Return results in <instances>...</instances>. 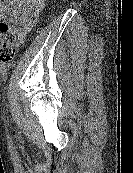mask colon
<instances>
[{
  "mask_svg": "<svg viewBox=\"0 0 133 173\" xmlns=\"http://www.w3.org/2000/svg\"><path fill=\"white\" fill-rule=\"evenodd\" d=\"M17 38L9 32L6 23L0 22V62H10L15 57Z\"/></svg>",
  "mask_w": 133,
  "mask_h": 173,
  "instance_id": "5ec220e1",
  "label": "colon"
}]
</instances>
